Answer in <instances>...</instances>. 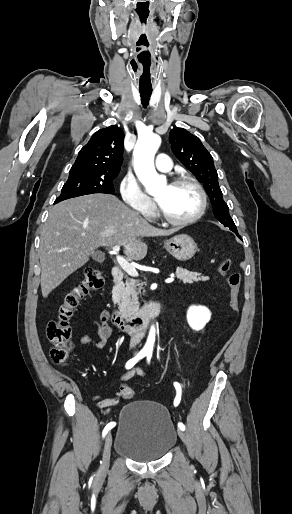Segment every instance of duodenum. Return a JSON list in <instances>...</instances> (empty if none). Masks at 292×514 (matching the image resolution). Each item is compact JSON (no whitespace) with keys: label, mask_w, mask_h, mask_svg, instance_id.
Returning a JSON list of instances; mask_svg holds the SVG:
<instances>
[{"label":"duodenum","mask_w":292,"mask_h":514,"mask_svg":"<svg viewBox=\"0 0 292 514\" xmlns=\"http://www.w3.org/2000/svg\"><path fill=\"white\" fill-rule=\"evenodd\" d=\"M113 288L116 290L121 285L125 276L124 270L115 266L112 270ZM110 317L109 320L113 322L116 329L125 334H137L143 331L150 320L159 315L163 311V305L158 301H151L146 303L137 313L123 317L118 311L114 301L110 302Z\"/></svg>","instance_id":"obj_1"}]
</instances>
